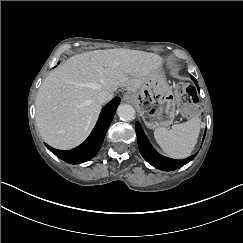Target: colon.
<instances>
[{
    "mask_svg": "<svg viewBox=\"0 0 243 243\" xmlns=\"http://www.w3.org/2000/svg\"><path fill=\"white\" fill-rule=\"evenodd\" d=\"M175 95L180 112L184 117L191 119L199 115L196 106L197 95L194 88L179 84L175 90Z\"/></svg>",
    "mask_w": 243,
    "mask_h": 243,
    "instance_id": "colon-1",
    "label": "colon"
}]
</instances>
